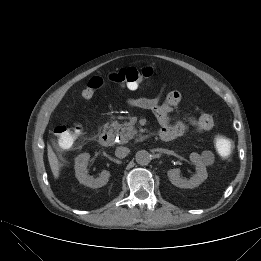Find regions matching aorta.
Here are the masks:
<instances>
[{
  "label": "aorta",
  "mask_w": 261,
  "mask_h": 261,
  "mask_svg": "<svg viewBox=\"0 0 261 261\" xmlns=\"http://www.w3.org/2000/svg\"><path fill=\"white\" fill-rule=\"evenodd\" d=\"M135 159L139 165H148L151 161V155L146 150H140L136 153Z\"/></svg>",
  "instance_id": "762f6f07"
}]
</instances>
